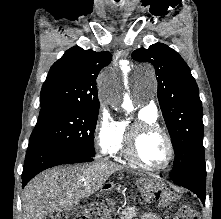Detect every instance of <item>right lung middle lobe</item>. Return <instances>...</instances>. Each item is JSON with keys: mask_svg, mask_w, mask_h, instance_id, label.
Listing matches in <instances>:
<instances>
[{"mask_svg": "<svg viewBox=\"0 0 221 219\" xmlns=\"http://www.w3.org/2000/svg\"><path fill=\"white\" fill-rule=\"evenodd\" d=\"M98 112L99 106L43 104L29 146L37 142L46 143L75 154L94 157Z\"/></svg>", "mask_w": 221, "mask_h": 219, "instance_id": "right-lung-middle-lobe-1", "label": "right lung middle lobe"}]
</instances>
